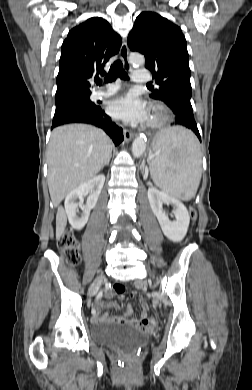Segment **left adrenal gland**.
<instances>
[{"instance_id":"left-adrenal-gland-1","label":"left adrenal gland","mask_w":252,"mask_h":390,"mask_svg":"<svg viewBox=\"0 0 252 390\" xmlns=\"http://www.w3.org/2000/svg\"><path fill=\"white\" fill-rule=\"evenodd\" d=\"M142 174H143V178L146 179L147 176H148V171H147V169L143 168Z\"/></svg>"}]
</instances>
